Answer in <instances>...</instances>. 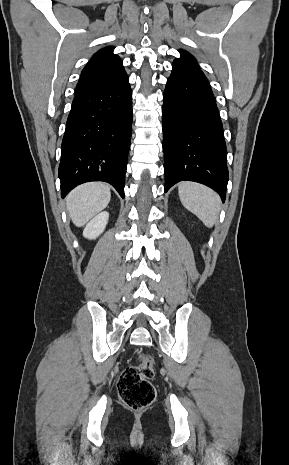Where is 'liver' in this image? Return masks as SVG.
I'll return each mask as SVG.
<instances>
[{
  "mask_svg": "<svg viewBox=\"0 0 289 465\" xmlns=\"http://www.w3.org/2000/svg\"><path fill=\"white\" fill-rule=\"evenodd\" d=\"M111 199L110 187L104 183H86L78 186L66 198L67 211L72 222L81 227L107 207Z\"/></svg>",
  "mask_w": 289,
  "mask_h": 465,
  "instance_id": "1",
  "label": "liver"
}]
</instances>
